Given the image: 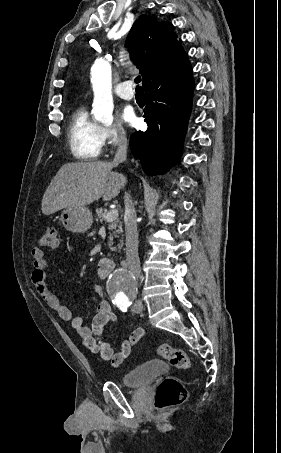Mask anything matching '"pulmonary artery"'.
Masks as SVG:
<instances>
[{
	"instance_id": "e3ab8cb5",
	"label": "pulmonary artery",
	"mask_w": 281,
	"mask_h": 453,
	"mask_svg": "<svg viewBox=\"0 0 281 453\" xmlns=\"http://www.w3.org/2000/svg\"><path fill=\"white\" fill-rule=\"evenodd\" d=\"M114 93L123 99H132L134 97V91L131 89V84L128 81L115 85Z\"/></svg>"
}]
</instances>
